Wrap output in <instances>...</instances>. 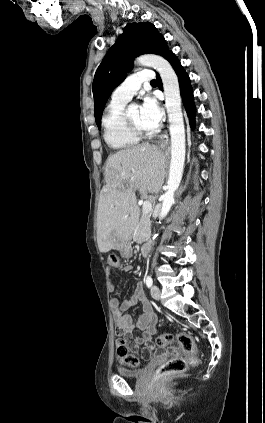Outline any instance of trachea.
I'll return each mask as SVG.
<instances>
[{"label": "trachea", "mask_w": 265, "mask_h": 423, "mask_svg": "<svg viewBox=\"0 0 265 423\" xmlns=\"http://www.w3.org/2000/svg\"><path fill=\"white\" fill-rule=\"evenodd\" d=\"M150 84H157V81H156V80H152V81L150 82Z\"/></svg>", "instance_id": "1"}]
</instances>
